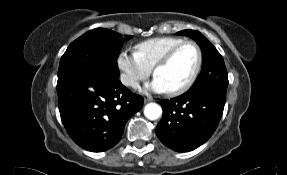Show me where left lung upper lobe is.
<instances>
[{"mask_svg": "<svg viewBox=\"0 0 287 175\" xmlns=\"http://www.w3.org/2000/svg\"><path fill=\"white\" fill-rule=\"evenodd\" d=\"M177 34L193 38L203 52L201 73L188 92L214 90L226 93L228 86L227 70L217 49L198 31L183 30Z\"/></svg>", "mask_w": 287, "mask_h": 175, "instance_id": "obj_1", "label": "left lung upper lobe"}]
</instances>
